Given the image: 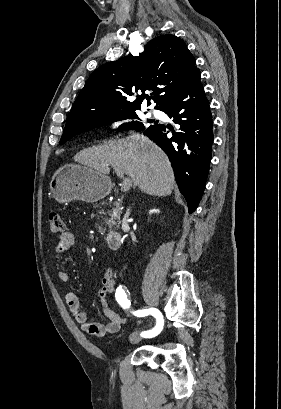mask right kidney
<instances>
[{
  "label": "right kidney",
  "mask_w": 281,
  "mask_h": 409,
  "mask_svg": "<svg viewBox=\"0 0 281 409\" xmlns=\"http://www.w3.org/2000/svg\"><path fill=\"white\" fill-rule=\"evenodd\" d=\"M150 213H160L159 209H152V211H150Z\"/></svg>",
  "instance_id": "1"
}]
</instances>
